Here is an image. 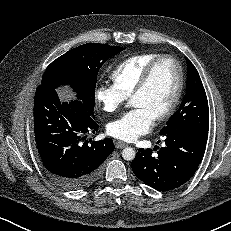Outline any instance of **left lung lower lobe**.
<instances>
[{"mask_svg":"<svg viewBox=\"0 0 231 231\" xmlns=\"http://www.w3.org/2000/svg\"><path fill=\"white\" fill-rule=\"evenodd\" d=\"M164 146L139 149L132 162L134 174L158 191L176 189L197 170L204 155L208 131L178 129L160 134ZM160 142V141H158Z\"/></svg>","mask_w":231,"mask_h":231,"instance_id":"0a47b994","label":"left lung lower lobe"}]
</instances>
